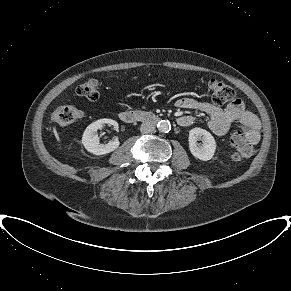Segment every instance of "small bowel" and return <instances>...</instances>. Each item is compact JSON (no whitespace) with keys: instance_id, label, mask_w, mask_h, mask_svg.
<instances>
[{"instance_id":"c3829d8e","label":"small bowel","mask_w":291,"mask_h":291,"mask_svg":"<svg viewBox=\"0 0 291 291\" xmlns=\"http://www.w3.org/2000/svg\"><path fill=\"white\" fill-rule=\"evenodd\" d=\"M176 106L182 109H196L208 114L210 117L208 127L217 136L226 134L230 124L238 121L252 144H256L260 139V122L255 114L246 109L240 99H235L221 108L210 102L183 97L177 100ZM193 121L191 115H182L178 118V124L184 127L190 126Z\"/></svg>"}]
</instances>
